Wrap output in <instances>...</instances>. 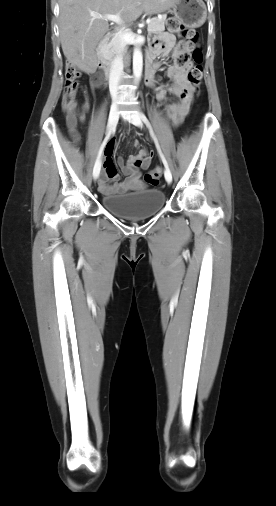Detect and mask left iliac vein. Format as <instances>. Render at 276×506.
<instances>
[{
	"instance_id": "4c4485c4",
	"label": "left iliac vein",
	"mask_w": 276,
	"mask_h": 506,
	"mask_svg": "<svg viewBox=\"0 0 276 506\" xmlns=\"http://www.w3.org/2000/svg\"><path fill=\"white\" fill-rule=\"evenodd\" d=\"M127 120L136 126H142L141 117L138 113L127 116ZM165 178L168 183L172 182V174L169 169H165Z\"/></svg>"
}]
</instances>
